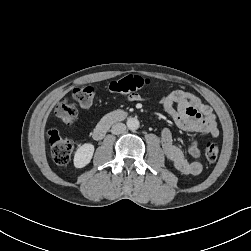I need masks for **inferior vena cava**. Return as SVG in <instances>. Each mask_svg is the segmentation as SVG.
<instances>
[{"instance_id": "1", "label": "inferior vena cava", "mask_w": 251, "mask_h": 251, "mask_svg": "<svg viewBox=\"0 0 251 251\" xmlns=\"http://www.w3.org/2000/svg\"><path fill=\"white\" fill-rule=\"evenodd\" d=\"M126 130V125L124 123H116L111 128V133L118 135L122 134Z\"/></svg>"}]
</instances>
